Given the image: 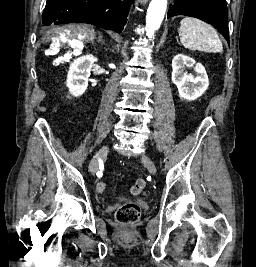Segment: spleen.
Returning a JSON list of instances; mask_svg holds the SVG:
<instances>
[{"mask_svg": "<svg viewBox=\"0 0 256 267\" xmlns=\"http://www.w3.org/2000/svg\"><path fill=\"white\" fill-rule=\"evenodd\" d=\"M180 42L187 50L198 52H219L222 54V42L215 30L197 18H183L178 30Z\"/></svg>", "mask_w": 256, "mask_h": 267, "instance_id": "1", "label": "spleen"}]
</instances>
